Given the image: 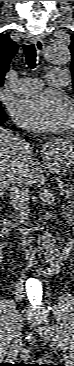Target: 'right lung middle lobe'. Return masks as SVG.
I'll list each match as a JSON object with an SVG mask.
<instances>
[{"label": "right lung middle lobe", "mask_w": 74, "mask_h": 366, "mask_svg": "<svg viewBox=\"0 0 74 366\" xmlns=\"http://www.w3.org/2000/svg\"><path fill=\"white\" fill-rule=\"evenodd\" d=\"M4 115H5L4 111L2 109H0V117H2Z\"/></svg>", "instance_id": "1"}]
</instances>
